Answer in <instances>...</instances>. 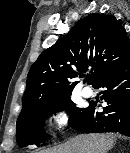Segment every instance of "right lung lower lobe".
Wrapping results in <instances>:
<instances>
[{
  "label": "right lung lower lobe",
  "mask_w": 130,
  "mask_h": 153,
  "mask_svg": "<svg viewBox=\"0 0 130 153\" xmlns=\"http://www.w3.org/2000/svg\"><path fill=\"white\" fill-rule=\"evenodd\" d=\"M93 87L104 88L101 99L107 105L97 112V103L91 101L71 127L86 133L119 132L130 136V58L102 75Z\"/></svg>",
  "instance_id": "1"
}]
</instances>
